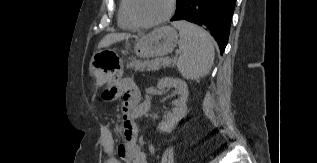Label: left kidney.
Returning a JSON list of instances; mask_svg holds the SVG:
<instances>
[{
    "label": "left kidney",
    "instance_id": "1",
    "mask_svg": "<svg viewBox=\"0 0 317 163\" xmlns=\"http://www.w3.org/2000/svg\"><path fill=\"white\" fill-rule=\"evenodd\" d=\"M158 90L163 93L165 89L174 88L176 93L180 96L178 100L173 102L174 108L172 112L165 115L164 120L159 123L158 129L163 132L172 131L178 122L186 115L188 99V87L185 81L172 77H164L159 80L157 84Z\"/></svg>",
    "mask_w": 317,
    "mask_h": 163
}]
</instances>
